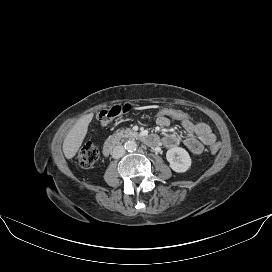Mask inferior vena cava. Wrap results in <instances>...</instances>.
I'll return each mask as SVG.
<instances>
[{"label": "inferior vena cava", "mask_w": 272, "mask_h": 272, "mask_svg": "<svg viewBox=\"0 0 272 272\" xmlns=\"http://www.w3.org/2000/svg\"><path fill=\"white\" fill-rule=\"evenodd\" d=\"M124 154H125V148L122 145H118V146L114 147V149L112 151V157L114 159H119Z\"/></svg>", "instance_id": "obj_1"}]
</instances>
